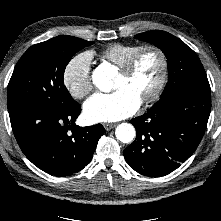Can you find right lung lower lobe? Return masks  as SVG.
<instances>
[{"label": "right lung lower lobe", "mask_w": 221, "mask_h": 221, "mask_svg": "<svg viewBox=\"0 0 221 221\" xmlns=\"http://www.w3.org/2000/svg\"><path fill=\"white\" fill-rule=\"evenodd\" d=\"M8 111L13 133L25 156L54 176L82 170L105 132L101 124L85 128L73 124L81 112L77 102L64 108L31 103Z\"/></svg>", "instance_id": "98d812e1"}]
</instances>
